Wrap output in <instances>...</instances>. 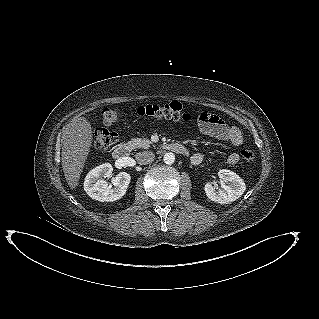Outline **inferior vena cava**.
<instances>
[{"label":"inferior vena cava","instance_id":"602c4592","mask_svg":"<svg viewBox=\"0 0 319 319\" xmlns=\"http://www.w3.org/2000/svg\"><path fill=\"white\" fill-rule=\"evenodd\" d=\"M155 154L151 151H143L136 154V160L141 165L150 164L154 161Z\"/></svg>","mask_w":319,"mask_h":319}]
</instances>
